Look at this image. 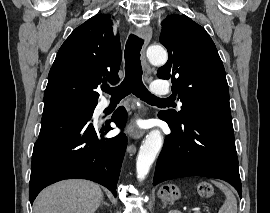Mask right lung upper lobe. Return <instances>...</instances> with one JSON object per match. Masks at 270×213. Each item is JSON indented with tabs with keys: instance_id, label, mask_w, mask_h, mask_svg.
<instances>
[{
	"instance_id": "1",
	"label": "right lung upper lobe",
	"mask_w": 270,
	"mask_h": 213,
	"mask_svg": "<svg viewBox=\"0 0 270 213\" xmlns=\"http://www.w3.org/2000/svg\"><path fill=\"white\" fill-rule=\"evenodd\" d=\"M121 46L109 15L77 27L60 47L48 75L44 106L63 101L98 102L100 83H117Z\"/></svg>"
}]
</instances>
